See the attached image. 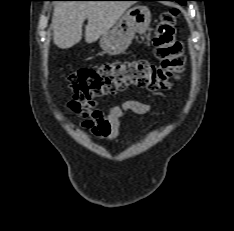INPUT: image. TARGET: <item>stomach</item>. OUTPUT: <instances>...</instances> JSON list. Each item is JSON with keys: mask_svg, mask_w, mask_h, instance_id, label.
Here are the masks:
<instances>
[{"mask_svg": "<svg viewBox=\"0 0 234 231\" xmlns=\"http://www.w3.org/2000/svg\"><path fill=\"white\" fill-rule=\"evenodd\" d=\"M151 13L146 6H134L125 11L121 19L101 36L100 46L109 55L124 52L136 33L144 34L150 26Z\"/></svg>", "mask_w": 234, "mask_h": 231, "instance_id": "1", "label": "stomach"}]
</instances>
